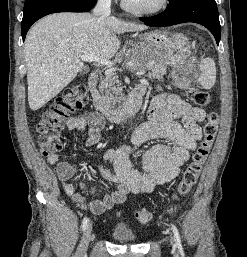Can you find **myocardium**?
I'll return each mask as SVG.
<instances>
[{
    "label": "myocardium",
    "instance_id": "f54148a6",
    "mask_svg": "<svg viewBox=\"0 0 247 257\" xmlns=\"http://www.w3.org/2000/svg\"><path fill=\"white\" fill-rule=\"evenodd\" d=\"M169 2L170 0H160L159 3L153 7H137L130 4L126 0H122L121 4L126 11L132 14L140 16H155L165 11L169 5Z\"/></svg>",
    "mask_w": 247,
    "mask_h": 257
}]
</instances>
